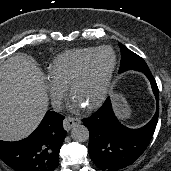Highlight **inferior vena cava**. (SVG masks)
I'll use <instances>...</instances> for the list:
<instances>
[{"mask_svg": "<svg viewBox=\"0 0 171 171\" xmlns=\"http://www.w3.org/2000/svg\"><path fill=\"white\" fill-rule=\"evenodd\" d=\"M52 107L55 111H61L63 108L62 101L60 99L53 100Z\"/></svg>", "mask_w": 171, "mask_h": 171, "instance_id": "inferior-vena-cava-1", "label": "inferior vena cava"}]
</instances>
